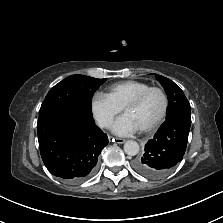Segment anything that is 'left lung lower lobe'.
Masks as SVG:
<instances>
[{"label":"left lung lower lobe","mask_w":223,"mask_h":223,"mask_svg":"<svg viewBox=\"0 0 223 223\" xmlns=\"http://www.w3.org/2000/svg\"><path fill=\"white\" fill-rule=\"evenodd\" d=\"M191 119L173 116L161 125L149 140L144 153L133 162L134 169L149 179H161L170 174L183 159Z\"/></svg>","instance_id":"obj_1"}]
</instances>
